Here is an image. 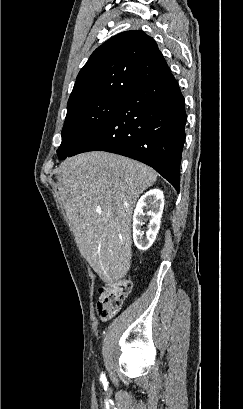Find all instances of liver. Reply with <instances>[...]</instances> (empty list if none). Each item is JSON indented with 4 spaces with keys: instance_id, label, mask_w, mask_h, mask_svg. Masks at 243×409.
Returning a JSON list of instances; mask_svg holds the SVG:
<instances>
[{
    "instance_id": "liver-1",
    "label": "liver",
    "mask_w": 243,
    "mask_h": 409,
    "mask_svg": "<svg viewBox=\"0 0 243 409\" xmlns=\"http://www.w3.org/2000/svg\"><path fill=\"white\" fill-rule=\"evenodd\" d=\"M156 179L151 167L104 151L61 162L57 183L62 205L82 256L103 281L120 280L129 271L132 211Z\"/></svg>"
}]
</instances>
